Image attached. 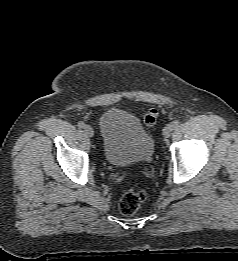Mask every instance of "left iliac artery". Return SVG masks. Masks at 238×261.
Listing matches in <instances>:
<instances>
[{
    "label": "left iliac artery",
    "mask_w": 238,
    "mask_h": 261,
    "mask_svg": "<svg viewBox=\"0 0 238 261\" xmlns=\"http://www.w3.org/2000/svg\"><path fill=\"white\" fill-rule=\"evenodd\" d=\"M171 124H172L173 128L175 129V128H177L179 126L180 120H175Z\"/></svg>",
    "instance_id": "left-iliac-artery-1"
}]
</instances>
